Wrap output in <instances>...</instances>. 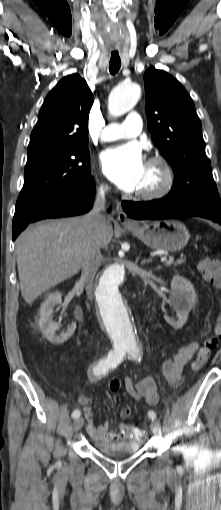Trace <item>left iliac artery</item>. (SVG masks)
<instances>
[{"instance_id": "left-iliac-artery-1", "label": "left iliac artery", "mask_w": 221, "mask_h": 510, "mask_svg": "<svg viewBox=\"0 0 221 510\" xmlns=\"http://www.w3.org/2000/svg\"><path fill=\"white\" fill-rule=\"evenodd\" d=\"M130 354L131 356L137 360V361H140L141 360V354H140V351L138 348L134 347L132 348V350L130 351ZM148 416L150 419L154 420L157 416H156V413L153 411V410H150L148 412Z\"/></svg>"}]
</instances>
